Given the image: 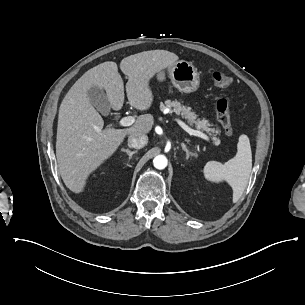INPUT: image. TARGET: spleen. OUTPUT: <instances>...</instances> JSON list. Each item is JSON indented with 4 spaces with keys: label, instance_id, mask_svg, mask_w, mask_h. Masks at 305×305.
<instances>
[{
    "label": "spleen",
    "instance_id": "spleen-1",
    "mask_svg": "<svg viewBox=\"0 0 305 305\" xmlns=\"http://www.w3.org/2000/svg\"><path fill=\"white\" fill-rule=\"evenodd\" d=\"M252 169V152L247 135L242 134L237 144V154L234 158L222 164L209 161L203 169L204 177L208 181H227L233 189V202L236 203L246 189Z\"/></svg>",
    "mask_w": 305,
    "mask_h": 305
}]
</instances>
